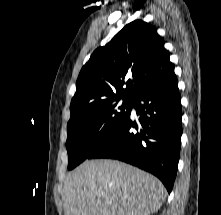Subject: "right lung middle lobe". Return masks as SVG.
<instances>
[{"instance_id":"dd1d6c3e","label":"right lung middle lobe","mask_w":221,"mask_h":215,"mask_svg":"<svg viewBox=\"0 0 221 215\" xmlns=\"http://www.w3.org/2000/svg\"><path fill=\"white\" fill-rule=\"evenodd\" d=\"M120 98L70 106L66 148L68 169L83 162L131 111V99Z\"/></svg>"}]
</instances>
